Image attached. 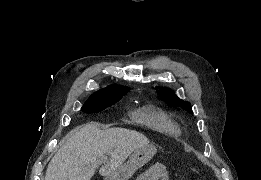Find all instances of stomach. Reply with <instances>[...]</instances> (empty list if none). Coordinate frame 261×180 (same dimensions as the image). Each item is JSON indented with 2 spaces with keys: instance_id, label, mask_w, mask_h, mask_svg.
<instances>
[{
  "instance_id": "0dacf381",
  "label": "stomach",
  "mask_w": 261,
  "mask_h": 180,
  "mask_svg": "<svg viewBox=\"0 0 261 180\" xmlns=\"http://www.w3.org/2000/svg\"><path fill=\"white\" fill-rule=\"evenodd\" d=\"M157 149L154 145L148 144L138 148L130 156L128 162L119 166L114 172L105 176L103 180H128L133 174L149 162L156 154Z\"/></svg>"
}]
</instances>
